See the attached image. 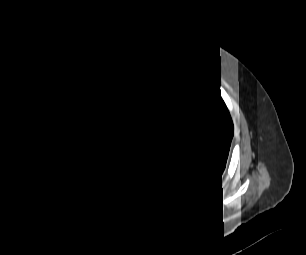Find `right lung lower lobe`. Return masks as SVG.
Wrapping results in <instances>:
<instances>
[{
    "instance_id": "right-lung-lower-lobe-1",
    "label": "right lung lower lobe",
    "mask_w": 306,
    "mask_h": 255,
    "mask_svg": "<svg viewBox=\"0 0 306 255\" xmlns=\"http://www.w3.org/2000/svg\"><path fill=\"white\" fill-rule=\"evenodd\" d=\"M81 187L84 198L112 205L125 194L126 176L124 172L113 168L100 180H88Z\"/></svg>"
}]
</instances>
